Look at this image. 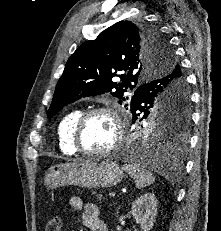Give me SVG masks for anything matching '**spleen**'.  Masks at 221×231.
<instances>
[{
	"label": "spleen",
	"mask_w": 221,
	"mask_h": 231,
	"mask_svg": "<svg viewBox=\"0 0 221 231\" xmlns=\"http://www.w3.org/2000/svg\"><path fill=\"white\" fill-rule=\"evenodd\" d=\"M122 169L134 179L137 188H144L155 181V177L150 171L141 168L136 163L124 164Z\"/></svg>",
	"instance_id": "3e777b00"
}]
</instances>
